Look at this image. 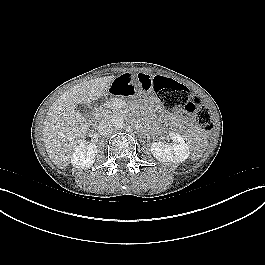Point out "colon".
I'll use <instances>...</instances> for the list:
<instances>
[{"instance_id":"5ec220e1","label":"colon","mask_w":265,"mask_h":265,"mask_svg":"<svg viewBox=\"0 0 265 265\" xmlns=\"http://www.w3.org/2000/svg\"><path fill=\"white\" fill-rule=\"evenodd\" d=\"M153 89L166 110H174L183 107L194 113L197 124L203 129L211 128V116L208 108L201 106L200 100L179 82L157 76L153 79Z\"/></svg>"}]
</instances>
